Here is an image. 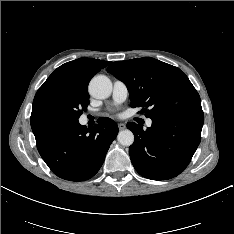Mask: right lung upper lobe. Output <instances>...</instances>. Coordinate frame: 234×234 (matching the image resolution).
Masks as SVG:
<instances>
[{
    "instance_id": "cb5924a9",
    "label": "right lung upper lobe",
    "mask_w": 234,
    "mask_h": 234,
    "mask_svg": "<svg viewBox=\"0 0 234 234\" xmlns=\"http://www.w3.org/2000/svg\"><path fill=\"white\" fill-rule=\"evenodd\" d=\"M111 62L93 58H79L58 67L38 89L31 113V120L39 118L43 100L53 91L66 89L88 92L90 79Z\"/></svg>"
}]
</instances>
